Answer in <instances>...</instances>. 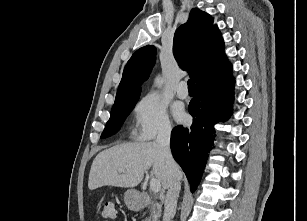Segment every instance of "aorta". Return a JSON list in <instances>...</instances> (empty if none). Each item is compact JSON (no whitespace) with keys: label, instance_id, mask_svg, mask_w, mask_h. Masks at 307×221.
<instances>
[{"label":"aorta","instance_id":"obj_1","mask_svg":"<svg viewBox=\"0 0 307 221\" xmlns=\"http://www.w3.org/2000/svg\"><path fill=\"white\" fill-rule=\"evenodd\" d=\"M154 83H155V86H156V87L161 88V87L163 86V84H164V80H163L162 77L157 76V77L155 78Z\"/></svg>","mask_w":307,"mask_h":221}]
</instances>
